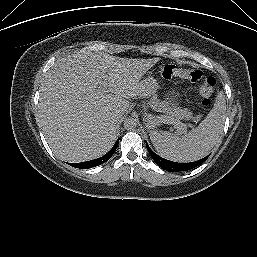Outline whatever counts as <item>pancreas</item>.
<instances>
[{"label": "pancreas", "mask_w": 257, "mask_h": 257, "mask_svg": "<svg viewBox=\"0 0 257 257\" xmlns=\"http://www.w3.org/2000/svg\"><path fill=\"white\" fill-rule=\"evenodd\" d=\"M148 104L155 111L166 114V116L162 117L163 119L170 118L173 120H189L192 118V113L188 109H182L181 107L174 106L173 104L166 101H160L156 98H152Z\"/></svg>", "instance_id": "pancreas-1"}]
</instances>
